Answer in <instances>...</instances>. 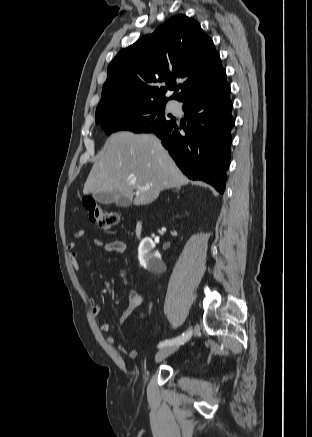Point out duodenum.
<instances>
[{
  "label": "duodenum",
  "mask_w": 312,
  "mask_h": 437,
  "mask_svg": "<svg viewBox=\"0 0 312 437\" xmlns=\"http://www.w3.org/2000/svg\"><path fill=\"white\" fill-rule=\"evenodd\" d=\"M143 229H144L143 223L139 222L137 224V227H136V235H137L138 238H141V236L143 234Z\"/></svg>",
  "instance_id": "410a0bca"
}]
</instances>
